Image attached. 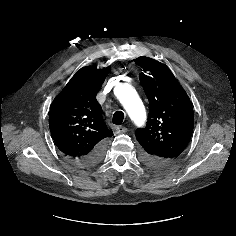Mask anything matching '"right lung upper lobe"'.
<instances>
[{"label":"right lung upper lobe","mask_w":236,"mask_h":236,"mask_svg":"<svg viewBox=\"0 0 236 236\" xmlns=\"http://www.w3.org/2000/svg\"><path fill=\"white\" fill-rule=\"evenodd\" d=\"M110 67L79 70L53 100L49 112L52 138L66 157H82L113 133L105 126L96 94Z\"/></svg>","instance_id":"1"}]
</instances>
